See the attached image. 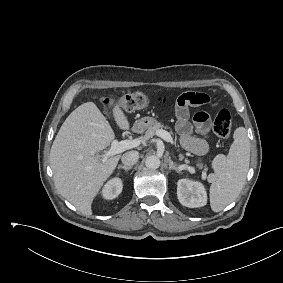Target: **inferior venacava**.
<instances>
[{
    "label": "inferior vena cava",
    "instance_id": "1",
    "mask_svg": "<svg viewBox=\"0 0 283 283\" xmlns=\"http://www.w3.org/2000/svg\"><path fill=\"white\" fill-rule=\"evenodd\" d=\"M139 159L138 151H129L122 155L121 161L126 166H133Z\"/></svg>",
    "mask_w": 283,
    "mask_h": 283
}]
</instances>
